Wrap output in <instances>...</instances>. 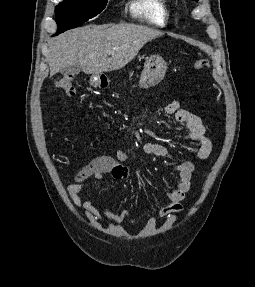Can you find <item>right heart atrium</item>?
<instances>
[{
    "label": "right heart atrium",
    "instance_id": "obj_1",
    "mask_svg": "<svg viewBox=\"0 0 255 287\" xmlns=\"http://www.w3.org/2000/svg\"><path fill=\"white\" fill-rule=\"evenodd\" d=\"M107 48H126V47H107Z\"/></svg>",
    "mask_w": 255,
    "mask_h": 287
}]
</instances>
